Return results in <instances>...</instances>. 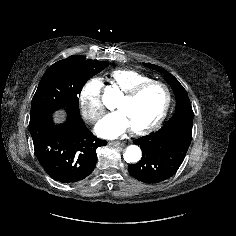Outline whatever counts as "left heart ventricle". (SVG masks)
<instances>
[{"label":"left heart ventricle","mask_w":236,"mask_h":236,"mask_svg":"<svg viewBox=\"0 0 236 236\" xmlns=\"http://www.w3.org/2000/svg\"><path fill=\"white\" fill-rule=\"evenodd\" d=\"M165 102L166 93L163 87L152 85L134 100L126 101L120 98L116 109L124 113L130 128L139 129L150 125L158 118Z\"/></svg>","instance_id":"1"}]
</instances>
